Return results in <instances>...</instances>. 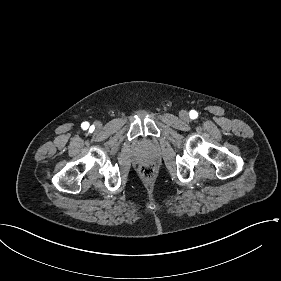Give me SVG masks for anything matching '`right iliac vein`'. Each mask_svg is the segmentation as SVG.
<instances>
[{
	"label": "right iliac vein",
	"mask_w": 281,
	"mask_h": 281,
	"mask_svg": "<svg viewBox=\"0 0 281 281\" xmlns=\"http://www.w3.org/2000/svg\"><path fill=\"white\" fill-rule=\"evenodd\" d=\"M96 126L99 127L100 125H99V124H96Z\"/></svg>",
	"instance_id": "right-iliac-vein-1"
}]
</instances>
